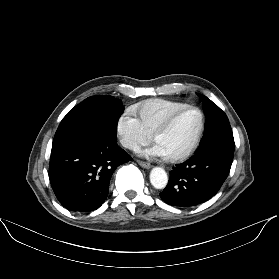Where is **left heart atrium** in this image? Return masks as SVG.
<instances>
[{"instance_id": "left-heart-atrium-1", "label": "left heart atrium", "mask_w": 279, "mask_h": 279, "mask_svg": "<svg viewBox=\"0 0 279 279\" xmlns=\"http://www.w3.org/2000/svg\"><path fill=\"white\" fill-rule=\"evenodd\" d=\"M142 154L146 157H168L163 147L158 143H155L153 146L143 150Z\"/></svg>"}]
</instances>
